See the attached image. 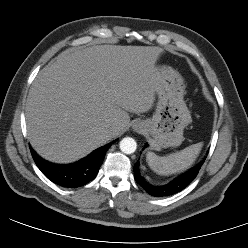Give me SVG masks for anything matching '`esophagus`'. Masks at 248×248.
<instances>
[{
	"label": "esophagus",
	"instance_id": "esophagus-1",
	"mask_svg": "<svg viewBox=\"0 0 248 248\" xmlns=\"http://www.w3.org/2000/svg\"><path fill=\"white\" fill-rule=\"evenodd\" d=\"M135 127H136L137 130H140L141 129L140 124L136 125Z\"/></svg>",
	"mask_w": 248,
	"mask_h": 248
}]
</instances>
